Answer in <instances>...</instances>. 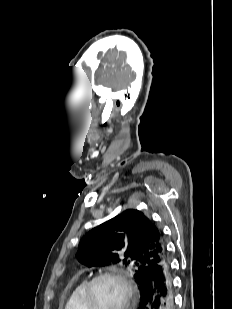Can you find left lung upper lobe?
<instances>
[{"label": "left lung upper lobe", "mask_w": 232, "mask_h": 309, "mask_svg": "<svg viewBox=\"0 0 232 309\" xmlns=\"http://www.w3.org/2000/svg\"><path fill=\"white\" fill-rule=\"evenodd\" d=\"M167 257L162 230L141 211L129 209L93 228L80 241L77 258L88 267H133L140 289L149 270Z\"/></svg>", "instance_id": "obj_1"}]
</instances>
